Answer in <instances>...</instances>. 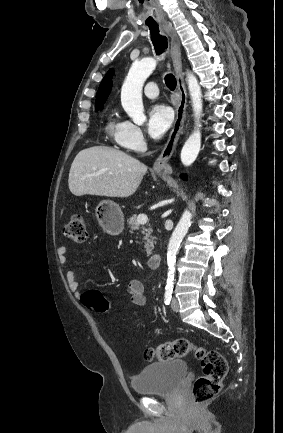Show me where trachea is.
Segmentation results:
<instances>
[{"instance_id":"obj_1","label":"trachea","mask_w":283,"mask_h":433,"mask_svg":"<svg viewBox=\"0 0 283 433\" xmlns=\"http://www.w3.org/2000/svg\"><path fill=\"white\" fill-rule=\"evenodd\" d=\"M151 35V41L153 43L155 52L158 56H161L168 48L167 38L160 34L158 25H148ZM165 83L169 90H174L177 85V81L173 74H167L165 76Z\"/></svg>"}]
</instances>
